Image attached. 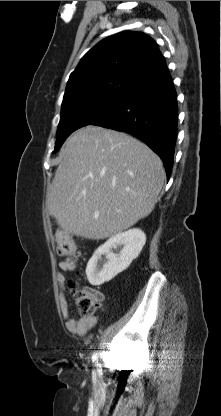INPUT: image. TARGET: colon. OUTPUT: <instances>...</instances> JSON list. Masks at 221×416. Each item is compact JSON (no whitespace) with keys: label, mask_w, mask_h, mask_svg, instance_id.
<instances>
[{"label":"colon","mask_w":221,"mask_h":416,"mask_svg":"<svg viewBox=\"0 0 221 416\" xmlns=\"http://www.w3.org/2000/svg\"><path fill=\"white\" fill-rule=\"evenodd\" d=\"M55 249L60 256L66 257L68 261H76L80 257L77 244L65 231L56 233ZM71 288L79 313L83 317L92 316L101 300L100 294L95 290L77 287L75 282H71Z\"/></svg>","instance_id":"1"}]
</instances>
